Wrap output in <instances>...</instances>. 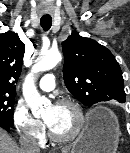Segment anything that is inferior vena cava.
Returning <instances> with one entry per match:
<instances>
[{
    "instance_id": "602c4592",
    "label": "inferior vena cava",
    "mask_w": 130,
    "mask_h": 153,
    "mask_svg": "<svg viewBox=\"0 0 130 153\" xmlns=\"http://www.w3.org/2000/svg\"><path fill=\"white\" fill-rule=\"evenodd\" d=\"M21 153H40V147L35 139L30 133H25L21 141Z\"/></svg>"
}]
</instances>
